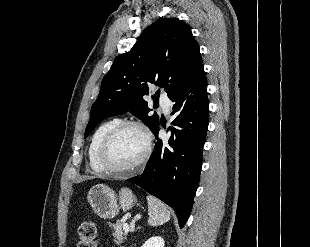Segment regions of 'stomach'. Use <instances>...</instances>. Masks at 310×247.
Returning a JSON list of instances; mask_svg holds the SVG:
<instances>
[{
  "label": "stomach",
  "instance_id": "stomach-1",
  "mask_svg": "<svg viewBox=\"0 0 310 247\" xmlns=\"http://www.w3.org/2000/svg\"><path fill=\"white\" fill-rule=\"evenodd\" d=\"M87 200L93 211L103 219H112L121 208L129 210L137 202L136 196L129 188H122L117 194L104 184H96L90 188Z\"/></svg>",
  "mask_w": 310,
  "mask_h": 247
}]
</instances>
